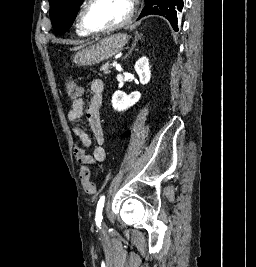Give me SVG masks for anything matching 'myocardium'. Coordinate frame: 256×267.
<instances>
[{
    "label": "myocardium",
    "mask_w": 256,
    "mask_h": 267,
    "mask_svg": "<svg viewBox=\"0 0 256 267\" xmlns=\"http://www.w3.org/2000/svg\"><path fill=\"white\" fill-rule=\"evenodd\" d=\"M94 1L97 0H89L86 4L85 9L80 13V25L82 27V29L90 34V35H103V34H108L111 33L113 31L119 30L123 27H125L126 25H128L131 21L132 18L134 16V6L130 3L129 0H115L119 3H122L123 5H125L128 9V15L126 17V19H124L123 21H120L110 27L104 28V29H95L93 27H91L86 20V9L88 8V6L93 3Z\"/></svg>",
    "instance_id": "obj_1"
}]
</instances>
